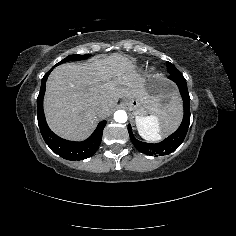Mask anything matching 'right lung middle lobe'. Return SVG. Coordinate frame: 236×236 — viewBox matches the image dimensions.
Masks as SVG:
<instances>
[{
	"label": "right lung middle lobe",
	"instance_id": "dd1d6c3e",
	"mask_svg": "<svg viewBox=\"0 0 236 236\" xmlns=\"http://www.w3.org/2000/svg\"><path fill=\"white\" fill-rule=\"evenodd\" d=\"M88 57H90V54H86V55H70V56L66 57L65 59H63L61 62H59L56 65H60L62 63H65V62H68V61H73V60H83V59H86Z\"/></svg>",
	"mask_w": 236,
	"mask_h": 236
}]
</instances>
